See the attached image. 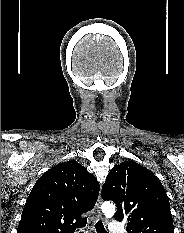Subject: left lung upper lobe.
<instances>
[{
  "mask_svg": "<svg viewBox=\"0 0 184 233\" xmlns=\"http://www.w3.org/2000/svg\"><path fill=\"white\" fill-rule=\"evenodd\" d=\"M101 196L116 204L115 219L128 221V233H174L169 199L162 183L138 163L125 161L115 165Z\"/></svg>",
  "mask_w": 184,
  "mask_h": 233,
  "instance_id": "obj_1",
  "label": "left lung upper lobe"
}]
</instances>
